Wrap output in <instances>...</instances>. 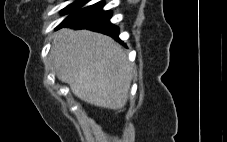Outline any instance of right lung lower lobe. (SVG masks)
Returning <instances> with one entry per match:
<instances>
[{
  "instance_id": "right-lung-lower-lobe-1",
  "label": "right lung lower lobe",
  "mask_w": 227,
  "mask_h": 142,
  "mask_svg": "<svg viewBox=\"0 0 227 142\" xmlns=\"http://www.w3.org/2000/svg\"><path fill=\"white\" fill-rule=\"evenodd\" d=\"M111 11L98 10L86 16L63 22L59 27H71L74 29H89L97 31L113 38H118V27L110 23Z\"/></svg>"
}]
</instances>
